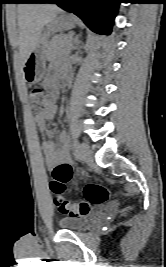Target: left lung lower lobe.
<instances>
[{
    "label": "left lung lower lobe",
    "mask_w": 166,
    "mask_h": 267,
    "mask_svg": "<svg viewBox=\"0 0 166 267\" xmlns=\"http://www.w3.org/2000/svg\"><path fill=\"white\" fill-rule=\"evenodd\" d=\"M76 14L98 34H110L120 0H43Z\"/></svg>",
    "instance_id": "0a47b994"
}]
</instances>
